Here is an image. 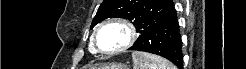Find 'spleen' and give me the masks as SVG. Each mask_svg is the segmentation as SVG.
I'll list each match as a JSON object with an SVG mask.
<instances>
[{"mask_svg": "<svg viewBox=\"0 0 246 69\" xmlns=\"http://www.w3.org/2000/svg\"><path fill=\"white\" fill-rule=\"evenodd\" d=\"M134 69H177L167 59L145 52L135 51L132 53Z\"/></svg>", "mask_w": 246, "mask_h": 69, "instance_id": "obj_1", "label": "spleen"}]
</instances>
